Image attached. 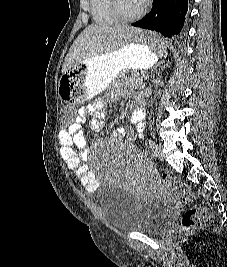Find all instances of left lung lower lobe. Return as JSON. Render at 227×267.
Wrapping results in <instances>:
<instances>
[{
  "label": "left lung lower lobe",
  "mask_w": 227,
  "mask_h": 267,
  "mask_svg": "<svg viewBox=\"0 0 227 267\" xmlns=\"http://www.w3.org/2000/svg\"><path fill=\"white\" fill-rule=\"evenodd\" d=\"M187 10L188 0H153L151 11L132 26L157 31L171 38L181 32Z\"/></svg>",
  "instance_id": "0a47b994"
}]
</instances>
